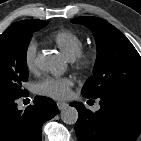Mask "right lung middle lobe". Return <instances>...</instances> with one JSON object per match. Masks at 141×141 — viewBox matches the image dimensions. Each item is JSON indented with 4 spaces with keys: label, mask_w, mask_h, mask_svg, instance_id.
<instances>
[{
    "label": "right lung middle lobe",
    "mask_w": 141,
    "mask_h": 141,
    "mask_svg": "<svg viewBox=\"0 0 141 141\" xmlns=\"http://www.w3.org/2000/svg\"><path fill=\"white\" fill-rule=\"evenodd\" d=\"M43 20H22L0 35V99L21 97L28 78L26 52L32 33L45 27Z\"/></svg>",
    "instance_id": "dd1d6c3e"
}]
</instances>
